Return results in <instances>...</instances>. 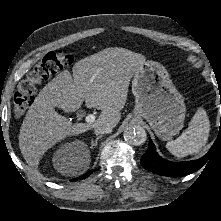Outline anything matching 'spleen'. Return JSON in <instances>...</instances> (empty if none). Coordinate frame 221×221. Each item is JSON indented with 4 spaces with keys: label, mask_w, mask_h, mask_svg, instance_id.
<instances>
[{
    "label": "spleen",
    "mask_w": 221,
    "mask_h": 221,
    "mask_svg": "<svg viewBox=\"0 0 221 221\" xmlns=\"http://www.w3.org/2000/svg\"><path fill=\"white\" fill-rule=\"evenodd\" d=\"M210 121L206 110L198 108L189 127L176 140L168 142L166 148L177 157L198 153L207 143Z\"/></svg>",
    "instance_id": "spleen-1"
}]
</instances>
